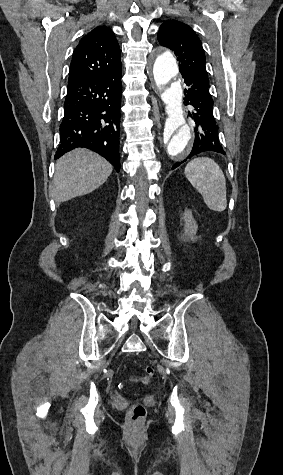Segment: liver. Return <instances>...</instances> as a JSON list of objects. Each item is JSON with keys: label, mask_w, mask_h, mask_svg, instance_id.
<instances>
[{"label": "liver", "mask_w": 283, "mask_h": 475, "mask_svg": "<svg viewBox=\"0 0 283 475\" xmlns=\"http://www.w3.org/2000/svg\"><path fill=\"white\" fill-rule=\"evenodd\" d=\"M112 166L99 154L78 148L57 160L53 178L57 202H67L76 196H85L106 182Z\"/></svg>", "instance_id": "obj_1"}]
</instances>
